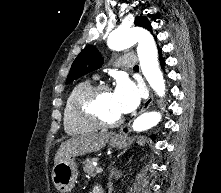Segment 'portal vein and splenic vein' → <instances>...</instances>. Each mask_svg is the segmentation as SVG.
Returning a JSON list of instances; mask_svg holds the SVG:
<instances>
[{
    "instance_id": "obj_1",
    "label": "portal vein and splenic vein",
    "mask_w": 221,
    "mask_h": 193,
    "mask_svg": "<svg viewBox=\"0 0 221 193\" xmlns=\"http://www.w3.org/2000/svg\"><path fill=\"white\" fill-rule=\"evenodd\" d=\"M102 172H103V168L98 167V168L96 169V173H102Z\"/></svg>"
}]
</instances>
